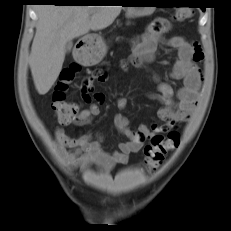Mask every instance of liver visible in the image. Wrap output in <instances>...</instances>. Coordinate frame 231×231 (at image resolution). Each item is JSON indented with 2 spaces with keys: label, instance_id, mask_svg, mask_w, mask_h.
I'll return each mask as SVG.
<instances>
[{
  "label": "liver",
  "instance_id": "6515ba94",
  "mask_svg": "<svg viewBox=\"0 0 231 231\" xmlns=\"http://www.w3.org/2000/svg\"><path fill=\"white\" fill-rule=\"evenodd\" d=\"M121 9L122 6L85 5H40L37 8L38 23L29 64L40 95H45L58 78L65 59L66 43L90 30L105 29Z\"/></svg>",
  "mask_w": 231,
  "mask_h": 231
}]
</instances>
